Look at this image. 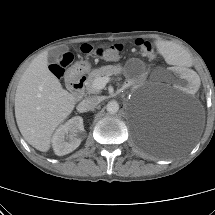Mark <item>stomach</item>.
Here are the masks:
<instances>
[{"label":"stomach","mask_w":215,"mask_h":215,"mask_svg":"<svg viewBox=\"0 0 215 215\" xmlns=\"http://www.w3.org/2000/svg\"><path fill=\"white\" fill-rule=\"evenodd\" d=\"M74 69L80 73H86L91 69V65L88 61H78L76 62Z\"/></svg>","instance_id":"obj_1"}]
</instances>
